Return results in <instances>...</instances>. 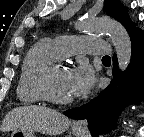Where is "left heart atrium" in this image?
<instances>
[{"label":"left heart atrium","mask_w":144,"mask_h":137,"mask_svg":"<svg viewBox=\"0 0 144 137\" xmlns=\"http://www.w3.org/2000/svg\"><path fill=\"white\" fill-rule=\"evenodd\" d=\"M94 83V71L87 64H80L69 73L68 89L71 96L83 97L87 95L93 88Z\"/></svg>","instance_id":"1"}]
</instances>
